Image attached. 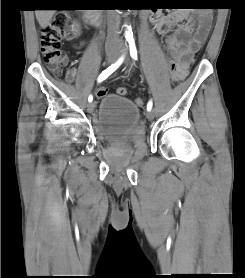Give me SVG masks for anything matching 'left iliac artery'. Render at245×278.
I'll use <instances>...</instances> for the list:
<instances>
[{"mask_svg": "<svg viewBox=\"0 0 245 278\" xmlns=\"http://www.w3.org/2000/svg\"><path fill=\"white\" fill-rule=\"evenodd\" d=\"M128 42L130 45V55L134 60H137V50H136V46L134 43V39L132 37H128ZM153 106L152 101L150 100L147 104V110H151Z\"/></svg>", "mask_w": 245, "mask_h": 278, "instance_id": "obj_1", "label": "left iliac artery"}]
</instances>
